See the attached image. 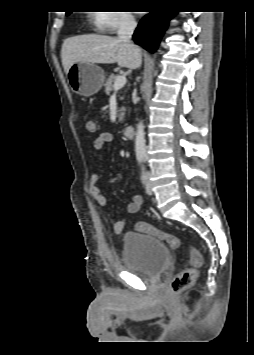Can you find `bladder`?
Returning a JSON list of instances; mask_svg holds the SVG:
<instances>
[{
    "label": "bladder",
    "instance_id": "bladder-1",
    "mask_svg": "<svg viewBox=\"0 0 254 355\" xmlns=\"http://www.w3.org/2000/svg\"><path fill=\"white\" fill-rule=\"evenodd\" d=\"M170 254L164 243L148 234L123 236L122 262L126 269L147 278L161 276L168 268Z\"/></svg>",
    "mask_w": 254,
    "mask_h": 355
}]
</instances>
